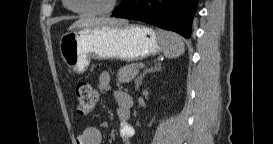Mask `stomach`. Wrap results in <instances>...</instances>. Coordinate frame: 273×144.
Instances as JSON below:
<instances>
[{
	"label": "stomach",
	"instance_id": "stomach-1",
	"mask_svg": "<svg viewBox=\"0 0 273 144\" xmlns=\"http://www.w3.org/2000/svg\"><path fill=\"white\" fill-rule=\"evenodd\" d=\"M61 56L75 73L87 70L91 59L137 61L163 51L157 31L140 25L84 27L64 34Z\"/></svg>",
	"mask_w": 273,
	"mask_h": 144
}]
</instances>
